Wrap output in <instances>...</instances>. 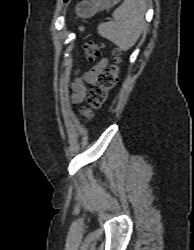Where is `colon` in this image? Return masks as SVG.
Masks as SVG:
<instances>
[{
	"label": "colon",
	"instance_id": "5ec220e1",
	"mask_svg": "<svg viewBox=\"0 0 194 250\" xmlns=\"http://www.w3.org/2000/svg\"><path fill=\"white\" fill-rule=\"evenodd\" d=\"M102 43L90 42L84 46V57L87 61H94L103 48ZM114 63L105 68L92 84L89 91L88 106L82 109V114L90 118L93 111L99 109L108 97L109 91L115 86L122 64V58L118 50H115Z\"/></svg>",
	"mask_w": 194,
	"mask_h": 250
}]
</instances>
